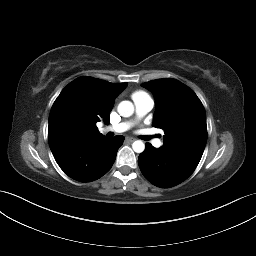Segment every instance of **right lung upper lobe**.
<instances>
[{
	"mask_svg": "<svg viewBox=\"0 0 256 256\" xmlns=\"http://www.w3.org/2000/svg\"><path fill=\"white\" fill-rule=\"evenodd\" d=\"M127 85L86 76L69 83L55 100L49 115L48 142L51 151L101 136L96 123L100 120L110 122L114 100Z\"/></svg>",
	"mask_w": 256,
	"mask_h": 256,
	"instance_id": "right-lung-upper-lobe-1",
	"label": "right lung upper lobe"
}]
</instances>
